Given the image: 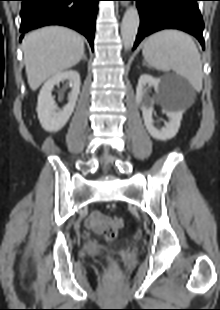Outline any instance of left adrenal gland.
I'll use <instances>...</instances> for the list:
<instances>
[{"instance_id":"1","label":"left adrenal gland","mask_w":220,"mask_h":310,"mask_svg":"<svg viewBox=\"0 0 220 310\" xmlns=\"http://www.w3.org/2000/svg\"><path fill=\"white\" fill-rule=\"evenodd\" d=\"M143 65L145 66V65H146V63H145V62H143Z\"/></svg>"}]
</instances>
